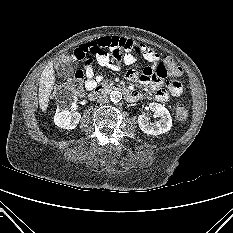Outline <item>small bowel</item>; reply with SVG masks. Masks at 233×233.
<instances>
[{
	"label": "small bowel",
	"mask_w": 233,
	"mask_h": 233,
	"mask_svg": "<svg viewBox=\"0 0 233 233\" xmlns=\"http://www.w3.org/2000/svg\"><path fill=\"white\" fill-rule=\"evenodd\" d=\"M134 53L142 56L150 65L146 66L141 74L128 70L126 78L130 81H140L148 84L155 93L159 102H167L173 96L182 93V85L174 79L164 81L158 69L162 61L161 56L152 48L124 37H102L94 41L80 44L74 50V57L83 64L86 76V88L92 90L102 80L100 74L95 73V60L103 67L113 71H120L123 65H130L136 61ZM95 58V60H94ZM135 100L142 97L140 91H133Z\"/></svg>",
	"instance_id": "1"
}]
</instances>
